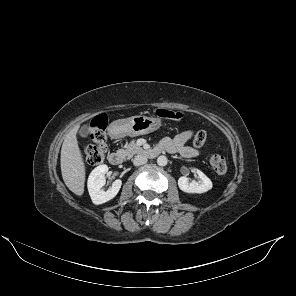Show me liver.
<instances>
[{"label": "liver", "instance_id": "1", "mask_svg": "<svg viewBox=\"0 0 296 296\" xmlns=\"http://www.w3.org/2000/svg\"><path fill=\"white\" fill-rule=\"evenodd\" d=\"M75 126L65 137L61 148V173L66 186L76 195L84 193L85 164L77 141Z\"/></svg>", "mask_w": 296, "mask_h": 296}]
</instances>
